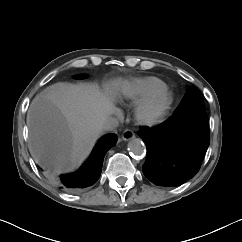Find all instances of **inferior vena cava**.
I'll list each match as a JSON object with an SVG mask.
<instances>
[{"instance_id":"inferior-vena-cava-1","label":"inferior vena cava","mask_w":242,"mask_h":242,"mask_svg":"<svg viewBox=\"0 0 242 242\" xmlns=\"http://www.w3.org/2000/svg\"><path fill=\"white\" fill-rule=\"evenodd\" d=\"M119 125L118 119L115 117H110L108 116L102 125V128L106 131H112L114 129H116Z\"/></svg>"}]
</instances>
